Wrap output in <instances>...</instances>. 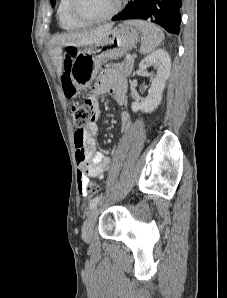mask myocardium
<instances>
[{
    "label": "myocardium",
    "mask_w": 227,
    "mask_h": 298,
    "mask_svg": "<svg viewBox=\"0 0 227 298\" xmlns=\"http://www.w3.org/2000/svg\"><path fill=\"white\" fill-rule=\"evenodd\" d=\"M79 2H80L79 0H71L70 12L75 20L85 25L103 23L112 19L115 15L119 13L123 4V0H116L114 8L105 16H102L100 18H88L81 14L79 10Z\"/></svg>",
    "instance_id": "f54148a6"
}]
</instances>
